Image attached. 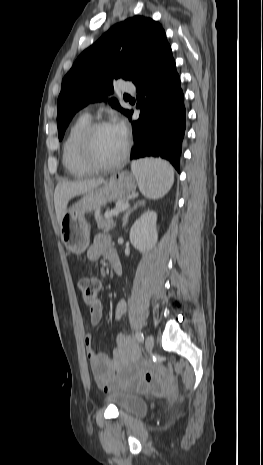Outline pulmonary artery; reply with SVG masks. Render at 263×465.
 Instances as JSON below:
<instances>
[{"mask_svg": "<svg viewBox=\"0 0 263 465\" xmlns=\"http://www.w3.org/2000/svg\"><path fill=\"white\" fill-rule=\"evenodd\" d=\"M121 90H122L123 92H134L135 88H134V86H132V85L125 84V85H123V86L121 87ZM85 115H88V116H89L88 113H86Z\"/></svg>", "mask_w": 263, "mask_h": 465, "instance_id": "1", "label": "pulmonary artery"}]
</instances>
